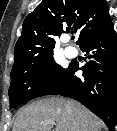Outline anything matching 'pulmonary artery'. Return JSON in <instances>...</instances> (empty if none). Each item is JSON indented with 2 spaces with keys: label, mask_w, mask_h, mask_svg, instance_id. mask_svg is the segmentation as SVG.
Here are the masks:
<instances>
[{
  "label": "pulmonary artery",
  "mask_w": 117,
  "mask_h": 131,
  "mask_svg": "<svg viewBox=\"0 0 117 131\" xmlns=\"http://www.w3.org/2000/svg\"><path fill=\"white\" fill-rule=\"evenodd\" d=\"M65 54H66L67 57L73 58V57L76 56L77 51H76V49H74V48H72V47H67V48L65 49Z\"/></svg>",
  "instance_id": "pulmonary-artery-1"
}]
</instances>
